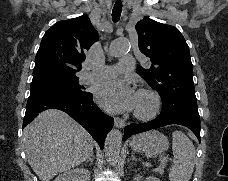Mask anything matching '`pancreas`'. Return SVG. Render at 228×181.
<instances>
[{"mask_svg":"<svg viewBox=\"0 0 228 181\" xmlns=\"http://www.w3.org/2000/svg\"><path fill=\"white\" fill-rule=\"evenodd\" d=\"M159 173L160 175H163L164 171H162V169H159Z\"/></svg>","mask_w":228,"mask_h":181,"instance_id":"obj_1","label":"pancreas"}]
</instances>
